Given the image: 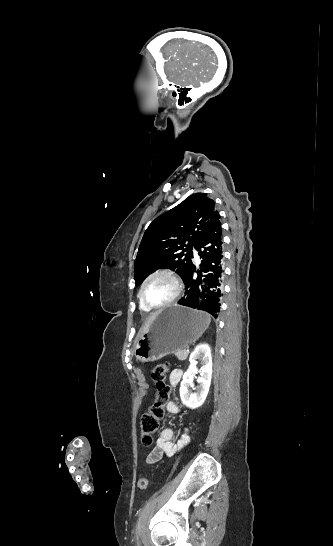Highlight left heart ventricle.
I'll list each match as a JSON object with an SVG mask.
<instances>
[{"label":"left heart ventricle","mask_w":333,"mask_h":546,"mask_svg":"<svg viewBox=\"0 0 333 546\" xmlns=\"http://www.w3.org/2000/svg\"><path fill=\"white\" fill-rule=\"evenodd\" d=\"M175 292V285L167 276L153 278L145 287L144 296L152 305H159L169 300Z\"/></svg>","instance_id":"left-heart-ventricle-1"}]
</instances>
